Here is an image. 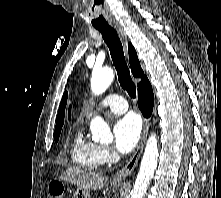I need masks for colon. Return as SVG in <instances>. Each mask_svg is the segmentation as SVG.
<instances>
[{
    "mask_svg": "<svg viewBox=\"0 0 221 198\" xmlns=\"http://www.w3.org/2000/svg\"><path fill=\"white\" fill-rule=\"evenodd\" d=\"M48 198H65L63 186L59 182H52L49 186Z\"/></svg>",
    "mask_w": 221,
    "mask_h": 198,
    "instance_id": "obj_1",
    "label": "colon"
}]
</instances>
